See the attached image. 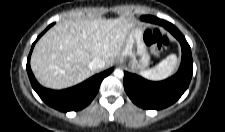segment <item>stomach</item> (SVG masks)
<instances>
[{
    "instance_id": "obj_1",
    "label": "stomach",
    "mask_w": 225,
    "mask_h": 132,
    "mask_svg": "<svg viewBox=\"0 0 225 132\" xmlns=\"http://www.w3.org/2000/svg\"><path fill=\"white\" fill-rule=\"evenodd\" d=\"M143 35L144 28L136 26L131 29L118 57L119 63L132 71H144L150 62Z\"/></svg>"
}]
</instances>
